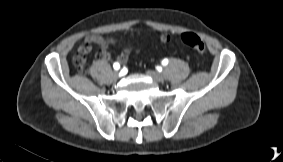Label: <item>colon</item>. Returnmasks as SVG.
I'll return each instance as SVG.
<instances>
[{"instance_id":"1","label":"colon","mask_w":283,"mask_h":162,"mask_svg":"<svg viewBox=\"0 0 283 162\" xmlns=\"http://www.w3.org/2000/svg\"><path fill=\"white\" fill-rule=\"evenodd\" d=\"M160 40L162 42H169L171 40V37L168 35L161 36ZM181 40L184 44L192 48L194 51L202 54L205 52V44L203 40L195 33L192 32H186L181 35ZM74 63L76 67L80 71H85L86 69V58H84L81 55H76L74 57Z\"/></svg>"}]
</instances>
